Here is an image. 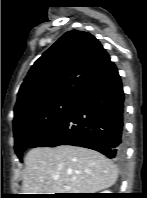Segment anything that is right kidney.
I'll list each match as a JSON object with an SVG mask.
<instances>
[{
	"mask_svg": "<svg viewBox=\"0 0 147 198\" xmlns=\"http://www.w3.org/2000/svg\"><path fill=\"white\" fill-rule=\"evenodd\" d=\"M103 193H109V191H103Z\"/></svg>",
	"mask_w": 147,
	"mask_h": 198,
	"instance_id": "obj_1",
	"label": "right kidney"
}]
</instances>
